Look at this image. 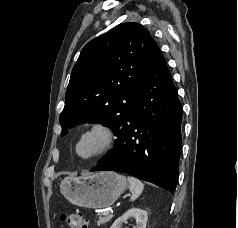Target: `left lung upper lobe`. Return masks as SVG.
Segmentation results:
<instances>
[{
    "label": "left lung upper lobe",
    "mask_w": 238,
    "mask_h": 228,
    "mask_svg": "<svg viewBox=\"0 0 238 228\" xmlns=\"http://www.w3.org/2000/svg\"><path fill=\"white\" fill-rule=\"evenodd\" d=\"M158 53L149 31L134 22L119 24L87 43L65 94L61 134L77 123L95 121L108 125L118 136Z\"/></svg>",
    "instance_id": "obj_1"
}]
</instances>
